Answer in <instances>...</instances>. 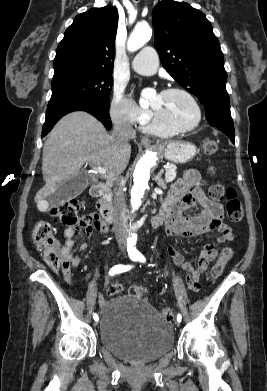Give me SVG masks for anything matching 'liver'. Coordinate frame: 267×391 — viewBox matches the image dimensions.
I'll return each mask as SVG.
<instances>
[{
  "instance_id": "liver-1",
  "label": "liver",
  "mask_w": 267,
  "mask_h": 391,
  "mask_svg": "<svg viewBox=\"0 0 267 391\" xmlns=\"http://www.w3.org/2000/svg\"><path fill=\"white\" fill-rule=\"evenodd\" d=\"M131 146H121L92 115L75 111L53 128L43 146L42 173L45 181L35 196L38 206L63 182L80 174L84 163L102 165L108 176H117L127 167Z\"/></svg>"
}]
</instances>
